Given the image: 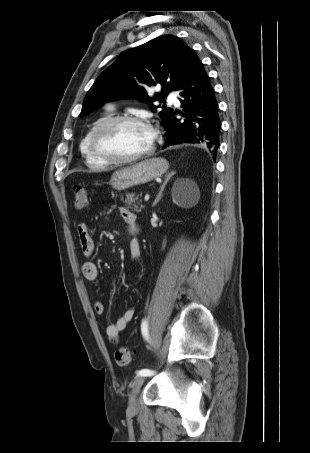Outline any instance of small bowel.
Returning a JSON list of instances; mask_svg holds the SVG:
<instances>
[{
  "mask_svg": "<svg viewBox=\"0 0 310 453\" xmlns=\"http://www.w3.org/2000/svg\"><path fill=\"white\" fill-rule=\"evenodd\" d=\"M120 213L125 221L128 231L135 234L138 230L137 216L126 208H121ZM77 233L83 255L85 257H91L94 252L95 244L88 225L86 223H80L77 227ZM130 253L133 260H137L141 254L140 242L135 237L130 241ZM81 270L86 280L97 281L99 279V270L93 262H84ZM94 310L99 315L104 314L105 307L100 300H96L94 302ZM134 315V308H127L123 314L115 320V322L106 326L105 333L107 337L112 341H116L119 333L126 328L128 323L133 319Z\"/></svg>",
  "mask_w": 310,
  "mask_h": 453,
  "instance_id": "1",
  "label": "small bowel"
}]
</instances>
